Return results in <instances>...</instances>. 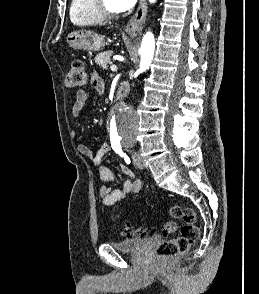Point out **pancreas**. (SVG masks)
Listing matches in <instances>:
<instances>
[{
  "mask_svg": "<svg viewBox=\"0 0 259 294\" xmlns=\"http://www.w3.org/2000/svg\"><path fill=\"white\" fill-rule=\"evenodd\" d=\"M112 53H113L112 51H105V52L99 53L95 57V63L99 65L100 67H102L103 69H107V65L111 64Z\"/></svg>",
  "mask_w": 259,
  "mask_h": 294,
  "instance_id": "obj_1",
  "label": "pancreas"
}]
</instances>
